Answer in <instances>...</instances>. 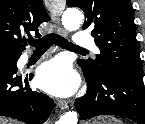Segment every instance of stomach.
Wrapping results in <instances>:
<instances>
[{
  "label": "stomach",
  "mask_w": 145,
  "mask_h": 124,
  "mask_svg": "<svg viewBox=\"0 0 145 124\" xmlns=\"http://www.w3.org/2000/svg\"><path fill=\"white\" fill-rule=\"evenodd\" d=\"M86 124H122L119 120L113 117H100L97 120H94L92 123Z\"/></svg>",
  "instance_id": "1"
}]
</instances>
